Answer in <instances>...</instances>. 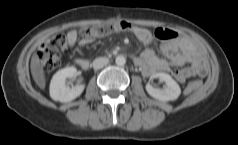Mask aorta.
Instances as JSON below:
<instances>
[{"mask_svg":"<svg viewBox=\"0 0 238 145\" xmlns=\"http://www.w3.org/2000/svg\"><path fill=\"white\" fill-rule=\"evenodd\" d=\"M115 63L119 66H123L126 63V58L123 55H118L115 59Z\"/></svg>","mask_w":238,"mask_h":145,"instance_id":"1","label":"aorta"}]
</instances>
